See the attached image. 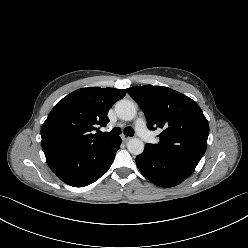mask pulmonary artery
<instances>
[{"label":"pulmonary artery","mask_w":248,"mask_h":248,"mask_svg":"<svg viewBox=\"0 0 248 248\" xmlns=\"http://www.w3.org/2000/svg\"><path fill=\"white\" fill-rule=\"evenodd\" d=\"M135 128L140 138L146 142H151L154 139L153 133L148 129L144 118L139 117L135 122Z\"/></svg>","instance_id":"1"}]
</instances>
